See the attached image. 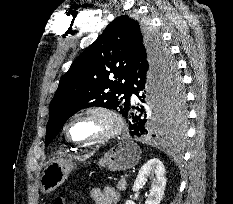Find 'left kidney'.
<instances>
[{
  "label": "left kidney",
  "instance_id": "1",
  "mask_svg": "<svg viewBox=\"0 0 233 204\" xmlns=\"http://www.w3.org/2000/svg\"><path fill=\"white\" fill-rule=\"evenodd\" d=\"M165 174L166 171L163 163L157 158L150 159L139 170L132 190L134 192L139 191L141 188H143L147 178L152 179L154 183L151 186L150 194L145 201V204H159L164 196V190L166 186ZM125 204L135 203L133 200H127Z\"/></svg>",
  "mask_w": 233,
  "mask_h": 204
}]
</instances>
